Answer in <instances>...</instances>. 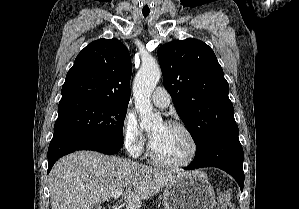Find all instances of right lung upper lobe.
<instances>
[{"label": "right lung upper lobe", "mask_w": 299, "mask_h": 209, "mask_svg": "<svg viewBox=\"0 0 299 209\" xmlns=\"http://www.w3.org/2000/svg\"><path fill=\"white\" fill-rule=\"evenodd\" d=\"M131 58L117 39H98L76 57L62 86L59 104L98 102L128 105Z\"/></svg>", "instance_id": "1"}]
</instances>
